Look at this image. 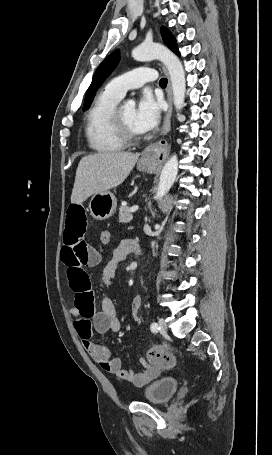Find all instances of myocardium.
<instances>
[{
	"mask_svg": "<svg viewBox=\"0 0 272 455\" xmlns=\"http://www.w3.org/2000/svg\"><path fill=\"white\" fill-rule=\"evenodd\" d=\"M112 126L115 135L124 145H133L140 140V136L136 133H133L126 126L121 115L120 107H116L112 114Z\"/></svg>",
	"mask_w": 272,
	"mask_h": 455,
	"instance_id": "1",
	"label": "myocardium"
}]
</instances>
